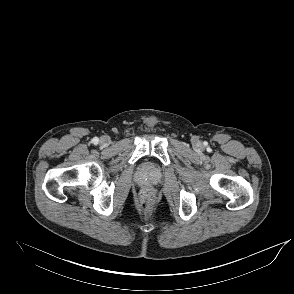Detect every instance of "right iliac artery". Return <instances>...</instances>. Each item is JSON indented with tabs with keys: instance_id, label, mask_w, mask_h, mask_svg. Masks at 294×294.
<instances>
[{
	"instance_id": "1",
	"label": "right iliac artery",
	"mask_w": 294,
	"mask_h": 294,
	"mask_svg": "<svg viewBox=\"0 0 294 294\" xmlns=\"http://www.w3.org/2000/svg\"><path fill=\"white\" fill-rule=\"evenodd\" d=\"M99 139L97 137L93 138V142L96 144L98 143Z\"/></svg>"
}]
</instances>
